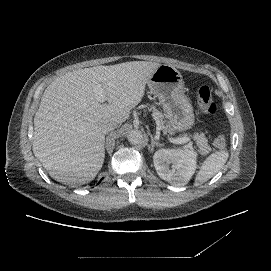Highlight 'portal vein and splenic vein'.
Instances as JSON below:
<instances>
[{"instance_id":"obj_1","label":"portal vein and splenic vein","mask_w":271,"mask_h":271,"mask_svg":"<svg viewBox=\"0 0 271 271\" xmlns=\"http://www.w3.org/2000/svg\"><path fill=\"white\" fill-rule=\"evenodd\" d=\"M107 99L106 95L104 94H101L100 95V101L103 102ZM192 141V138L189 137V136H184V137H181V138H178L175 140L176 143H179V144H184V143H188V142H191Z\"/></svg>"}]
</instances>
